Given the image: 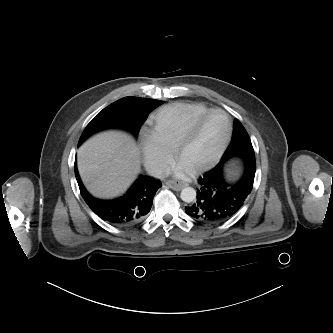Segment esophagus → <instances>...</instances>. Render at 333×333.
<instances>
[{
  "instance_id": "esophagus-1",
  "label": "esophagus",
  "mask_w": 333,
  "mask_h": 333,
  "mask_svg": "<svg viewBox=\"0 0 333 333\" xmlns=\"http://www.w3.org/2000/svg\"><path fill=\"white\" fill-rule=\"evenodd\" d=\"M167 186L175 191H180L182 188L187 186L186 183L183 182H176V181H168Z\"/></svg>"
}]
</instances>
